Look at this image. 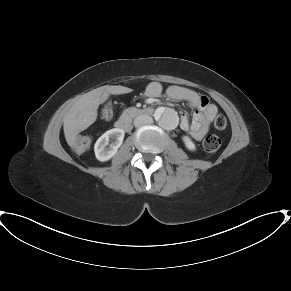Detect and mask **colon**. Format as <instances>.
<instances>
[{"mask_svg": "<svg viewBox=\"0 0 291 291\" xmlns=\"http://www.w3.org/2000/svg\"><path fill=\"white\" fill-rule=\"evenodd\" d=\"M112 104L106 102L99 111V117L102 121H108L112 117ZM227 125L226 117L223 114H217L214 119V126L218 130H223ZM221 140L216 135H208L203 141V146L207 152H215L220 148ZM77 150L81 153L86 152L87 144L85 142L78 143Z\"/></svg>", "mask_w": 291, "mask_h": 291, "instance_id": "1", "label": "colon"}]
</instances>
